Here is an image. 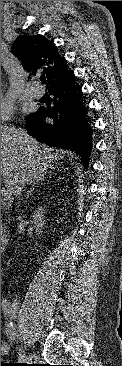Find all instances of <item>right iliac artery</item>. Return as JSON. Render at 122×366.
I'll use <instances>...</instances> for the list:
<instances>
[{
    "label": "right iliac artery",
    "mask_w": 122,
    "mask_h": 366,
    "mask_svg": "<svg viewBox=\"0 0 122 366\" xmlns=\"http://www.w3.org/2000/svg\"><path fill=\"white\" fill-rule=\"evenodd\" d=\"M1 305H2V309H3L4 313L6 315H9L12 310L9 300H6V299L3 300ZM6 333L11 340L15 339L16 335H15L14 327H13V324L11 321L6 322ZM19 355L21 356L22 353H20ZM22 357H24V354L22 355Z\"/></svg>",
    "instance_id": "82829eb1"
}]
</instances>
